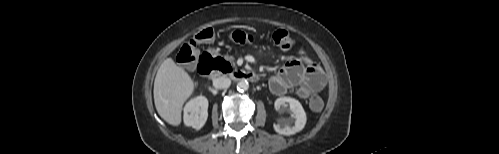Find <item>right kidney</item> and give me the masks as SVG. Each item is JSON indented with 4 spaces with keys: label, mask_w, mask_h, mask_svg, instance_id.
Listing matches in <instances>:
<instances>
[{
    "label": "right kidney",
    "mask_w": 499,
    "mask_h": 154,
    "mask_svg": "<svg viewBox=\"0 0 499 154\" xmlns=\"http://www.w3.org/2000/svg\"><path fill=\"white\" fill-rule=\"evenodd\" d=\"M208 100L198 96L190 100L184 107V123L194 129H201L208 117Z\"/></svg>",
    "instance_id": "obj_1"
}]
</instances>
